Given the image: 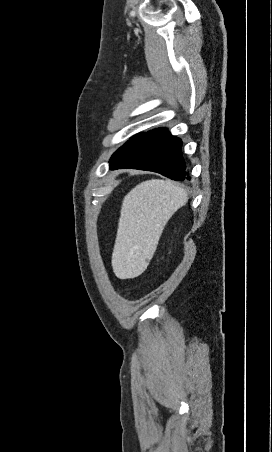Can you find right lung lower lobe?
Instances as JSON below:
<instances>
[{"instance_id": "98d812e1", "label": "right lung lower lobe", "mask_w": 272, "mask_h": 452, "mask_svg": "<svg viewBox=\"0 0 272 452\" xmlns=\"http://www.w3.org/2000/svg\"><path fill=\"white\" fill-rule=\"evenodd\" d=\"M182 141L165 128L145 133L110 169L133 168L160 173L172 180L187 177Z\"/></svg>"}]
</instances>
